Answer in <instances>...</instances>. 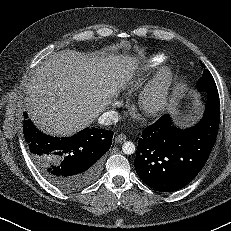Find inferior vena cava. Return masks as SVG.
Listing matches in <instances>:
<instances>
[{
	"instance_id": "inferior-vena-cava-1",
	"label": "inferior vena cava",
	"mask_w": 231,
	"mask_h": 231,
	"mask_svg": "<svg viewBox=\"0 0 231 231\" xmlns=\"http://www.w3.org/2000/svg\"><path fill=\"white\" fill-rule=\"evenodd\" d=\"M118 120H119V116L116 111H107L99 117L98 123L108 126L118 122Z\"/></svg>"
}]
</instances>
